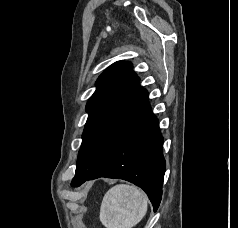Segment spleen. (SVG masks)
<instances>
[{"label": "spleen", "mask_w": 238, "mask_h": 228, "mask_svg": "<svg viewBox=\"0 0 238 228\" xmlns=\"http://www.w3.org/2000/svg\"><path fill=\"white\" fill-rule=\"evenodd\" d=\"M147 195L133 185L118 184L103 197L100 221L106 228H132L145 216Z\"/></svg>", "instance_id": "3e777b00"}]
</instances>
